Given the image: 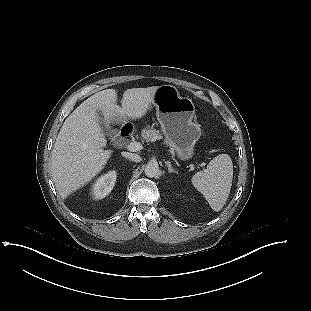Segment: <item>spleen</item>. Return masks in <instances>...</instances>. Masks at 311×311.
Here are the masks:
<instances>
[{"label":"spleen","mask_w":311,"mask_h":311,"mask_svg":"<svg viewBox=\"0 0 311 311\" xmlns=\"http://www.w3.org/2000/svg\"><path fill=\"white\" fill-rule=\"evenodd\" d=\"M233 178V164L229 155L213 158L207 169L195 173L191 182L203 194L214 211H220L229 196Z\"/></svg>","instance_id":"3e777b00"}]
</instances>
